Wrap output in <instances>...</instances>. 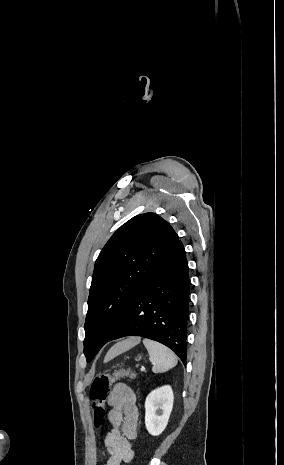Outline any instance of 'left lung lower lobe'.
<instances>
[{
  "label": "left lung lower lobe",
  "mask_w": 284,
  "mask_h": 465,
  "mask_svg": "<svg viewBox=\"0 0 284 465\" xmlns=\"http://www.w3.org/2000/svg\"><path fill=\"white\" fill-rule=\"evenodd\" d=\"M190 281L180 240L131 300L107 340L141 336L172 349L186 363Z\"/></svg>",
  "instance_id": "obj_1"
}]
</instances>
